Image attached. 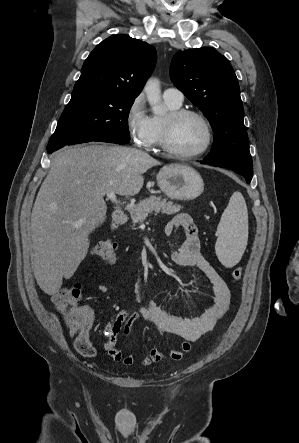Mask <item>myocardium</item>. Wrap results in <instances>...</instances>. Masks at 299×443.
Instances as JSON below:
<instances>
[{
    "label": "myocardium",
    "mask_w": 299,
    "mask_h": 443,
    "mask_svg": "<svg viewBox=\"0 0 299 443\" xmlns=\"http://www.w3.org/2000/svg\"><path fill=\"white\" fill-rule=\"evenodd\" d=\"M186 116H195V117L199 118L203 122L205 129H206L205 143L203 144V146L199 150H197L195 152H191V153H183V152L176 151L170 145V134H171L173 125L178 120H180ZM212 141H213L212 125H211L210 121L208 120V118L203 113H201L197 110L179 108L177 110L170 111L162 119L159 146L165 154H167L171 157L178 158V159H194V158L200 157L208 151V149L210 148V146L212 144Z\"/></svg>",
    "instance_id": "f54148a6"
}]
</instances>
